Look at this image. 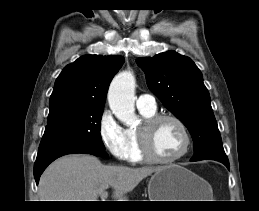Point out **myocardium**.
<instances>
[{"instance_id":"obj_1","label":"myocardium","mask_w":259,"mask_h":211,"mask_svg":"<svg viewBox=\"0 0 259 211\" xmlns=\"http://www.w3.org/2000/svg\"><path fill=\"white\" fill-rule=\"evenodd\" d=\"M170 120L178 125L183 136H184V146L183 149L175 156L171 158H160L157 157L151 148L150 143V132L151 130L160 122ZM138 141L140 152L145 161L157 164H170L174 163L181 158H183L189 151L191 147V135L185 123L177 116L173 114H155L151 117L145 118L141 127L137 130Z\"/></svg>"}]
</instances>
